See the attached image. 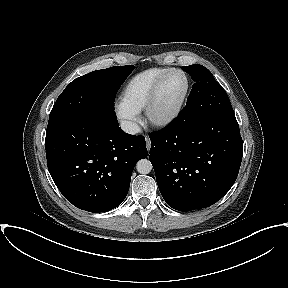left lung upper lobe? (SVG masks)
<instances>
[{"instance_id": "5c2ea615", "label": "left lung upper lobe", "mask_w": 288, "mask_h": 288, "mask_svg": "<svg viewBox=\"0 0 288 288\" xmlns=\"http://www.w3.org/2000/svg\"><path fill=\"white\" fill-rule=\"evenodd\" d=\"M182 69L192 77L195 83L187 98L186 106L180 114H186L195 119L218 116L236 121L226 92L207 68L194 64L183 66Z\"/></svg>"}]
</instances>
